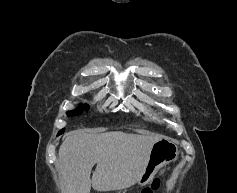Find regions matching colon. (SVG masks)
<instances>
[{
    "label": "colon",
    "mask_w": 237,
    "mask_h": 193,
    "mask_svg": "<svg viewBox=\"0 0 237 193\" xmlns=\"http://www.w3.org/2000/svg\"><path fill=\"white\" fill-rule=\"evenodd\" d=\"M158 187H159V179L156 178L150 185L142 188L139 193H155Z\"/></svg>",
    "instance_id": "colon-1"
}]
</instances>
